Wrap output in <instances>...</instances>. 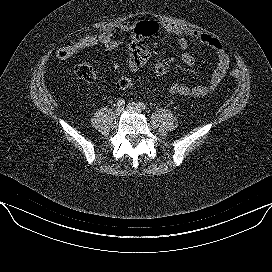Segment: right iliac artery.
<instances>
[{
	"label": "right iliac artery",
	"instance_id": "right-iliac-artery-1",
	"mask_svg": "<svg viewBox=\"0 0 272 272\" xmlns=\"http://www.w3.org/2000/svg\"><path fill=\"white\" fill-rule=\"evenodd\" d=\"M124 105H125L124 99H119V100L117 101V106H118V107H124Z\"/></svg>",
	"mask_w": 272,
	"mask_h": 272
}]
</instances>
